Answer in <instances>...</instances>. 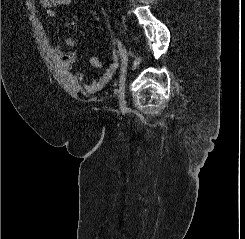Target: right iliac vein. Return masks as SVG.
I'll return each instance as SVG.
<instances>
[{"label": "right iliac vein", "instance_id": "1", "mask_svg": "<svg viewBox=\"0 0 245 239\" xmlns=\"http://www.w3.org/2000/svg\"><path fill=\"white\" fill-rule=\"evenodd\" d=\"M127 59L128 54L125 52V63L121 68L119 87H118V97H119V105L121 110H126V98H125V80H126V68H127Z\"/></svg>", "mask_w": 245, "mask_h": 239}]
</instances>
